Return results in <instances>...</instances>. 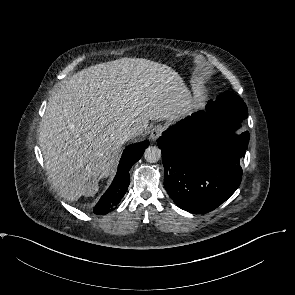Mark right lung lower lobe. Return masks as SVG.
Returning a JSON list of instances; mask_svg holds the SVG:
<instances>
[{"mask_svg":"<svg viewBox=\"0 0 295 295\" xmlns=\"http://www.w3.org/2000/svg\"><path fill=\"white\" fill-rule=\"evenodd\" d=\"M148 145L149 141L146 140L126 147L120 159L117 174L112 184L94 208L95 214L104 215L114 210L129 186V170L131 166L141 158Z\"/></svg>","mask_w":295,"mask_h":295,"instance_id":"98d812e1","label":"right lung lower lobe"}]
</instances>
